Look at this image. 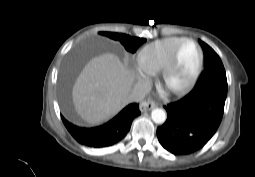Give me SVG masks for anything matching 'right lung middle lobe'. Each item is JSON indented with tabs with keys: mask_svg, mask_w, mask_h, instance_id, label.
Masks as SVG:
<instances>
[{
	"mask_svg": "<svg viewBox=\"0 0 255 177\" xmlns=\"http://www.w3.org/2000/svg\"><path fill=\"white\" fill-rule=\"evenodd\" d=\"M100 35L107 36L110 39L118 40L125 47L127 51L134 53L137 48L146 41L144 38L130 37L129 35L113 32H100ZM63 102L67 100V90L64 88L62 91Z\"/></svg>",
	"mask_w": 255,
	"mask_h": 177,
	"instance_id": "1",
	"label": "right lung middle lobe"
}]
</instances>
